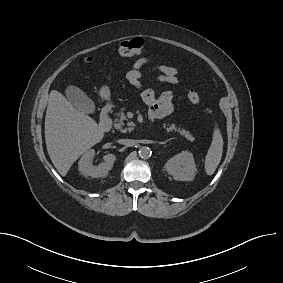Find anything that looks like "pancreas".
Masks as SVG:
<instances>
[{
    "instance_id": "obj_1",
    "label": "pancreas",
    "mask_w": 283,
    "mask_h": 283,
    "mask_svg": "<svg viewBox=\"0 0 283 283\" xmlns=\"http://www.w3.org/2000/svg\"><path fill=\"white\" fill-rule=\"evenodd\" d=\"M117 116L119 118H116L115 121H114V127L115 129H118L122 132H126L128 130H132L133 129V126L134 124L132 122H128L127 125H128V128H125L123 129V125H124V121L127 120L123 110L119 113H117ZM163 127L166 129L167 132H178L181 136L185 137L187 140L189 141H193L194 140V137L192 136V134L185 130V129H181V128H178L175 124H164Z\"/></svg>"
}]
</instances>
